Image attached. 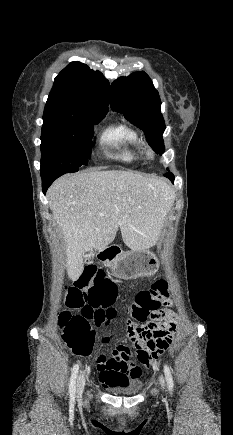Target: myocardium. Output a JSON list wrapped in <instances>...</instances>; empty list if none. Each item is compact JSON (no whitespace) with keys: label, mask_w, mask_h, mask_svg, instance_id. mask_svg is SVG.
Wrapping results in <instances>:
<instances>
[{"label":"myocardium","mask_w":233,"mask_h":435,"mask_svg":"<svg viewBox=\"0 0 233 435\" xmlns=\"http://www.w3.org/2000/svg\"><path fill=\"white\" fill-rule=\"evenodd\" d=\"M146 154L149 158H154L155 157V153L151 148H147L146 149Z\"/></svg>","instance_id":"1"}]
</instances>
